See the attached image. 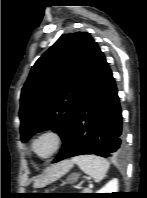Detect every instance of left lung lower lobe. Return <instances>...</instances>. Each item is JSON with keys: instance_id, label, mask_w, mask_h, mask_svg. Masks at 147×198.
<instances>
[{"instance_id": "left-lung-lower-lobe-1", "label": "left lung lower lobe", "mask_w": 147, "mask_h": 198, "mask_svg": "<svg viewBox=\"0 0 147 198\" xmlns=\"http://www.w3.org/2000/svg\"><path fill=\"white\" fill-rule=\"evenodd\" d=\"M124 150L121 107L106 59L98 49L93 73L53 163L73 156H119Z\"/></svg>"}]
</instances>
